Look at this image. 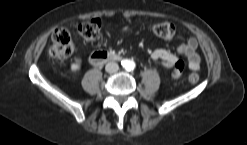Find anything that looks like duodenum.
Masks as SVG:
<instances>
[{
	"mask_svg": "<svg viewBox=\"0 0 247 145\" xmlns=\"http://www.w3.org/2000/svg\"><path fill=\"white\" fill-rule=\"evenodd\" d=\"M121 59L122 57L120 55L107 51H96L90 56V62L93 65H101L111 61H120Z\"/></svg>",
	"mask_w": 247,
	"mask_h": 145,
	"instance_id": "410a0bca",
	"label": "duodenum"
}]
</instances>
